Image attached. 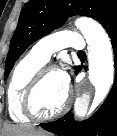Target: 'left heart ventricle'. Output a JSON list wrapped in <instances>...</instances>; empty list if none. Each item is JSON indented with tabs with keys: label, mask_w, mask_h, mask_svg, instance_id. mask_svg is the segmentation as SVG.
I'll return each instance as SVG.
<instances>
[{
	"label": "left heart ventricle",
	"mask_w": 117,
	"mask_h": 136,
	"mask_svg": "<svg viewBox=\"0 0 117 136\" xmlns=\"http://www.w3.org/2000/svg\"><path fill=\"white\" fill-rule=\"evenodd\" d=\"M67 88L63 85L58 71L49 73L38 87L34 97L35 111L40 115H50L63 104Z\"/></svg>",
	"instance_id": "b2bd125f"
}]
</instances>
